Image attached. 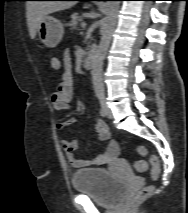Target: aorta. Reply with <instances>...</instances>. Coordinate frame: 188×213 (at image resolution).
<instances>
[{
    "mask_svg": "<svg viewBox=\"0 0 188 213\" xmlns=\"http://www.w3.org/2000/svg\"><path fill=\"white\" fill-rule=\"evenodd\" d=\"M119 7L120 1L106 2L102 37L92 68V83L97 97H104L105 94L103 84V62L116 26Z\"/></svg>",
    "mask_w": 188,
    "mask_h": 213,
    "instance_id": "aorta-1",
    "label": "aorta"
}]
</instances>
